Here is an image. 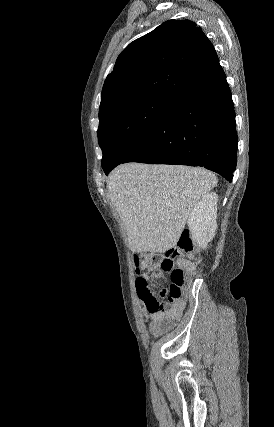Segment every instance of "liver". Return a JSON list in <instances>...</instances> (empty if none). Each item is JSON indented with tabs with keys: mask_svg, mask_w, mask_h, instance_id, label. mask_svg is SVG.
<instances>
[{
	"mask_svg": "<svg viewBox=\"0 0 274 427\" xmlns=\"http://www.w3.org/2000/svg\"><path fill=\"white\" fill-rule=\"evenodd\" d=\"M217 186L204 168L121 164L107 180L131 251L164 253L176 245L186 219L202 196Z\"/></svg>",
	"mask_w": 274,
	"mask_h": 427,
	"instance_id": "obj_1",
	"label": "liver"
}]
</instances>
